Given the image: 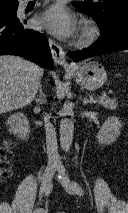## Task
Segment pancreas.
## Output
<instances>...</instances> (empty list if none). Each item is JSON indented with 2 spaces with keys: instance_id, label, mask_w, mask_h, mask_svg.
<instances>
[{
  "instance_id": "1",
  "label": "pancreas",
  "mask_w": 128,
  "mask_h": 213,
  "mask_svg": "<svg viewBox=\"0 0 128 213\" xmlns=\"http://www.w3.org/2000/svg\"><path fill=\"white\" fill-rule=\"evenodd\" d=\"M97 102L106 109H115L118 106V102L114 98L100 97Z\"/></svg>"
}]
</instances>
